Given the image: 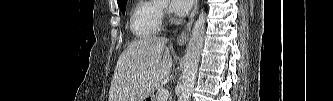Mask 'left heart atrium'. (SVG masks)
<instances>
[{"instance_id":"left-heart-atrium-1","label":"left heart atrium","mask_w":333,"mask_h":101,"mask_svg":"<svg viewBox=\"0 0 333 101\" xmlns=\"http://www.w3.org/2000/svg\"><path fill=\"white\" fill-rule=\"evenodd\" d=\"M192 0H172L170 1V10L175 14L182 15L189 11Z\"/></svg>"}]
</instances>
